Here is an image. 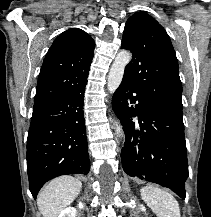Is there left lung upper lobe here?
<instances>
[{"label":"left lung upper lobe","mask_w":211,"mask_h":217,"mask_svg":"<svg viewBox=\"0 0 211 217\" xmlns=\"http://www.w3.org/2000/svg\"><path fill=\"white\" fill-rule=\"evenodd\" d=\"M121 49L132 52L123 79L157 109L183 120L178 61L165 29L147 13H136L125 24Z\"/></svg>","instance_id":"1"}]
</instances>
